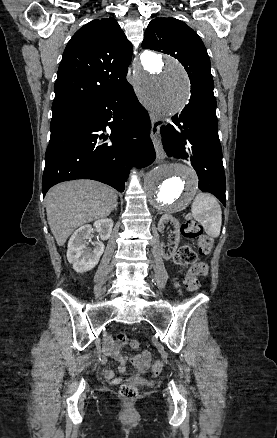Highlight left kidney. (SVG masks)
Returning a JSON list of instances; mask_svg holds the SVG:
<instances>
[{"label": "left kidney", "instance_id": "left-kidney-1", "mask_svg": "<svg viewBox=\"0 0 277 438\" xmlns=\"http://www.w3.org/2000/svg\"><path fill=\"white\" fill-rule=\"evenodd\" d=\"M165 222H173V224L176 228L175 232H173V234H176L175 242H174L175 246L173 248V252H176V250L178 248V244L180 242V224H179L178 220H176V218H173V216H171V214H164V216H162V218H160V220L158 222L157 230H159V232H163ZM162 256H163L164 260H170V258H172V254H171V256H166V254H164V252H162Z\"/></svg>", "mask_w": 277, "mask_h": 438}]
</instances>
